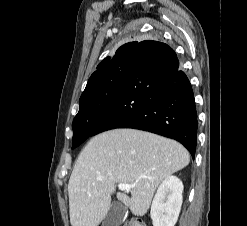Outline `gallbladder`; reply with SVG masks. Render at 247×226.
I'll use <instances>...</instances> for the list:
<instances>
[{"label":"gallbladder","mask_w":247,"mask_h":226,"mask_svg":"<svg viewBox=\"0 0 247 226\" xmlns=\"http://www.w3.org/2000/svg\"><path fill=\"white\" fill-rule=\"evenodd\" d=\"M126 207L118 201H114L105 216L102 226H120L125 217Z\"/></svg>","instance_id":"bac80fb5"}]
</instances>
